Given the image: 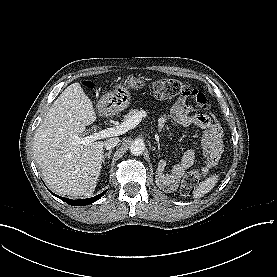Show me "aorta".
I'll return each instance as SVG.
<instances>
[{"label": "aorta", "instance_id": "obj_1", "mask_svg": "<svg viewBox=\"0 0 277 277\" xmlns=\"http://www.w3.org/2000/svg\"><path fill=\"white\" fill-rule=\"evenodd\" d=\"M130 153L132 155H141L144 150H145V143L141 139H136L131 142L130 147H129Z\"/></svg>", "mask_w": 277, "mask_h": 277}]
</instances>
